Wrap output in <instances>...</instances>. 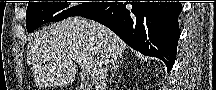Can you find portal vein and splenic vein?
<instances>
[{"instance_id": "obj_1", "label": "portal vein and splenic vein", "mask_w": 216, "mask_h": 90, "mask_svg": "<svg viewBox=\"0 0 216 90\" xmlns=\"http://www.w3.org/2000/svg\"><path fill=\"white\" fill-rule=\"evenodd\" d=\"M81 64V62H79ZM82 78H88V74H83Z\"/></svg>"}]
</instances>
